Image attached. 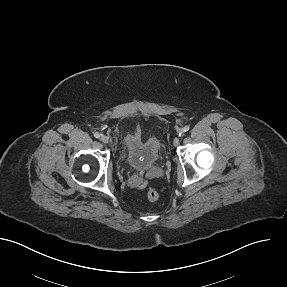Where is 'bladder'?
<instances>
[{
  "label": "bladder",
  "instance_id": "obj_1",
  "mask_svg": "<svg viewBox=\"0 0 287 287\" xmlns=\"http://www.w3.org/2000/svg\"><path fill=\"white\" fill-rule=\"evenodd\" d=\"M162 153V144L155 135L141 129L129 131L121 142V159L132 169L144 171L153 167Z\"/></svg>",
  "mask_w": 287,
  "mask_h": 287
}]
</instances>
